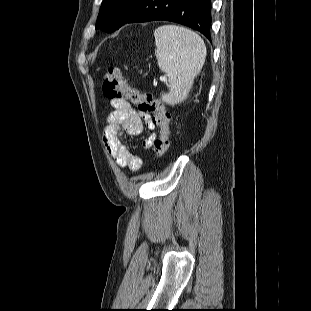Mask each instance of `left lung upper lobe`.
I'll return each instance as SVG.
<instances>
[{"label": "left lung upper lobe", "mask_w": 311, "mask_h": 311, "mask_svg": "<svg viewBox=\"0 0 311 311\" xmlns=\"http://www.w3.org/2000/svg\"><path fill=\"white\" fill-rule=\"evenodd\" d=\"M131 0H103L97 19L96 29L113 32L118 20Z\"/></svg>", "instance_id": "obj_1"}]
</instances>
